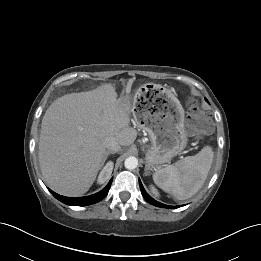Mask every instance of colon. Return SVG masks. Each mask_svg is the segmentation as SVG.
<instances>
[{
	"label": "colon",
	"mask_w": 261,
	"mask_h": 261,
	"mask_svg": "<svg viewBox=\"0 0 261 261\" xmlns=\"http://www.w3.org/2000/svg\"><path fill=\"white\" fill-rule=\"evenodd\" d=\"M186 127L188 132L194 136L205 134L211 129L210 120L194 99L187 101Z\"/></svg>",
	"instance_id": "5ec220e1"
}]
</instances>
